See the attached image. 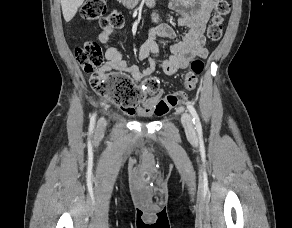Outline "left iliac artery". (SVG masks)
<instances>
[{"mask_svg":"<svg viewBox=\"0 0 292 228\" xmlns=\"http://www.w3.org/2000/svg\"><path fill=\"white\" fill-rule=\"evenodd\" d=\"M187 108H188L190 114L192 115L193 123L195 125V129H196L198 135L202 136V126H201L200 119H199V116H198L195 108L189 102L187 103Z\"/></svg>","mask_w":292,"mask_h":228,"instance_id":"obj_1","label":"left iliac artery"}]
</instances>
